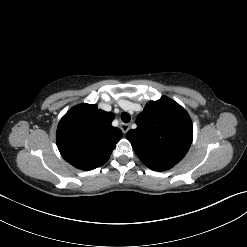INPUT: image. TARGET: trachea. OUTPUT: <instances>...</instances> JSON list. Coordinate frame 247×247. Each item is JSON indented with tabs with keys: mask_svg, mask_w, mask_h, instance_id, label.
Masks as SVG:
<instances>
[{
	"mask_svg": "<svg viewBox=\"0 0 247 247\" xmlns=\"http://www.w3.org/2000/svg\"><path fill=\"white\" fill-rule=\"evenodd\" d=\"M130 119H131V116H130L128 113L123 112V113L121 114V120H122L124 123H128V122L130 121Z\"/></svg>",
	"mask_w": 247,
	"mask_h": 247,
	"instance_id": "3493384b",
	"label": "trachea"
}]
</instances>
